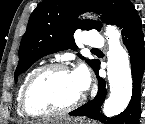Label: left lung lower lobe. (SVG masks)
<instances>
[{
  "label": "left lung lower lobe",
  "mask_w": 145,
  "mask_h": 124,
  "mask_svg": "<svg viewBox=\"0 0 145 124\" xmlns=\"http://www.w3.org/2000/svg\"><path fill=\"white\" fill-rule=\"evenodd\" d=\"M117 26L122 29L123 42L130 55L133 93L129 105L120 115L113 118H107L100 113L101 105L106 97V84L105 81L98 76V71L100 68L99 62L95 70L97 78L99 79L98 94L92 101L70 112L69 115L86 116L100 120L104 124H139L141 114V81L145 65V49L141 19L134 6H131L126 11Z\"/></svg>",
  "instance_id": "left-lung-lower-lobe-1"
}]
</instances>
